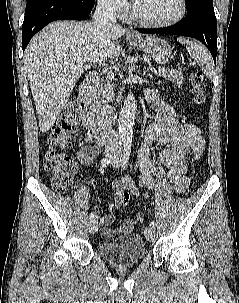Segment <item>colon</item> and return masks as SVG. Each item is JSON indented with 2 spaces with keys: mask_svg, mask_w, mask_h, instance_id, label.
Masks as SVG:
<instances>
[{
  "mask_svg": "<svg viewBox=\"0 0 239 303\" xmlns=\"http://www.w3.org/2000/svg\"><path fill=\"white\" fill-rule=\"evenodd\" d=\"M193 101L196 105L204 102L205 77L200 71H193L189 78ZM79 123L78 109L74 103L65 107L60 118L53 127L50 137V150L43 161L44 170L51 175L52 188L58 193L66 192L73 182L75 162L66 153L73 145L76 130ZM121 206L129 203V194L119 196Z\"/></svg>",
  "mask_w": 239,
  "mask_h": 303,
  "instance_id": "5ec220e1",
  "label": "colon"
}]
</instances>
